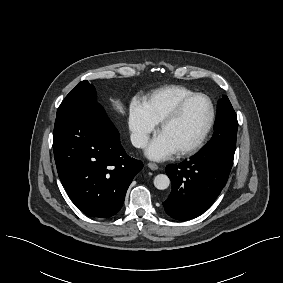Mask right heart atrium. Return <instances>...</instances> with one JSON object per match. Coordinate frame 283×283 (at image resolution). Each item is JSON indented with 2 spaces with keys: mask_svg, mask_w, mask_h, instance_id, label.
<instances>
[{
  "mask_svg": "<svg viewBox=\"0 0 283 283\" xmlns=\"http://www.w3.org/2000/svg\"><path fill=\"white\" fill-rule=\"evenodd\" d=\"M128 124L131 141L137 148H143L156 129V124L147 116L143 104L138 100H133L130 105Z\"/></svg>",
  "mask_w": 283,
  "mask_h": 283,
  "instance_id": "right-heart-atrium-1",
  "label": "right heart atrium"
}]
</instances>
